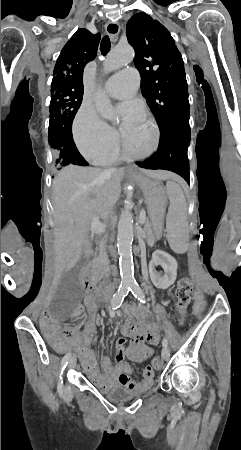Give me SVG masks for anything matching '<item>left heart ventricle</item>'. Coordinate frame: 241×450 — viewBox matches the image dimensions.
<instances>
[{
  "label": "left heart ventricle",
  "instance_id": "b2bd125f",
  "mask_svg": "<svg viewBox=\"0 0 241 450\" xmlns=\"http://www.w3.org/2000/svg\"><path fill=\"white\" fill-rule=\"evenodd\" d=\"M151 122H153L151 117L145 114L140 120L130 121L123 127L126 137V147L123 150L134 160H139L141 153L147 152V145L152 140L154 130L150 125Z\"/></svg>",
  "mask_w": 241,
  "mask_h": 450
}]
</instances>
